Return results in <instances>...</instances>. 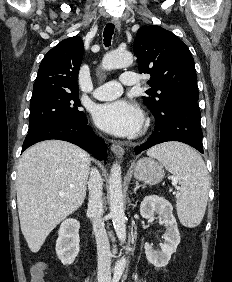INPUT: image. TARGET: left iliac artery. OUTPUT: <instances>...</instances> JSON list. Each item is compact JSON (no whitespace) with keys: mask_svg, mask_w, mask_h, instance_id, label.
Wrapping results in <instances>:
<instances>
[{"mask_svg":"<svg viewBox=\"0 0 232 282\" xmlns=\"http://www.w3.org/2000/svg\"><path fill=\"white\" fill-rule=\"evenodd\" d=\"M121 278V273H116L113 277V282H119Z\"/></svg>","mask_w":232,"mask_h":282,"instance_id":"44dca946","label":"left iliac artery"}]
</instances>
